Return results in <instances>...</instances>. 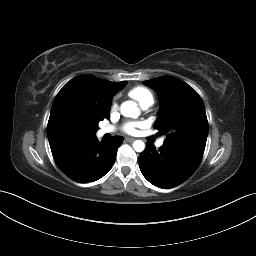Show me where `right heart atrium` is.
Wrapping results in <instances>:
<instances>
[{
  "label": "right heart atrium",
  "mask_w": 256,
  "mask_h": 256,
  "mask_svg": "<svg viewBox=\"0 0 256 256\" xmlns=\"http://www.w3.org/2000/svg\"><path fill=\"white\" fill-rule=\"evenodd\" d=\"M116 108H117V103L115 101H113L111 104V109L115 110Z\"/></svg>",
  "instance_id": "d8ad5b80"
}]
</instances>
